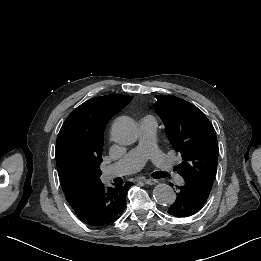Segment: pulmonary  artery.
I'll return each mask as SVG.
<instances>
[{"mask_svg":"<svg viewBox=\"0 0 261 261\" xmlns=\"http://www.w3.org/2000/svg\"><path fill=\"white\" fill-rule=\"evenodd\" d=\"M157 133V122L152 117H144L139 120V139L137 147L131 149L122 159L103 170V179L110 180L117 176H122L139 169L149 152L155 146ZM155 163L162 174L167 175L166 181L171 186H176L181 181L178 172L173 171L174 165L165 153L156 155Z\"/></svg>","mask_w":261,"mask_h":261,"instance_id":"e3ab8cb5","label":"pulmonary artery"}]
</instances>
